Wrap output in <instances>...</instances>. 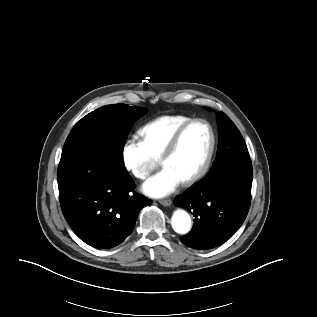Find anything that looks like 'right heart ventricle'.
I'll return each mask as SVG.
<instances>
[{
  "label": "right heart ventricle",
  "mask_w": 317,
  "mask_h": 317,
  "mask_svg": "<svg viewBox=\"0 0 317 317\" xmlns=\"http://www.w3.org/2000/svg\"><path fill=\"white\" fill-rule=\"evenodd\" d=\"M192 118L185 115H165L144 125L139 134L153 157L160 159L178 129Z\"/></svg>",
  "instance_id": "1"
}]
</instances>
